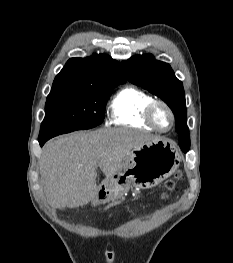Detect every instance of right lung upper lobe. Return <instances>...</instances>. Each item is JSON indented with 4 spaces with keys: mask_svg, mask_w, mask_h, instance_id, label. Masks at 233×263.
<instances>
[{
    "mask_svg": "<svg viewBox=\"0 0 233 263\" xmlns=\"http://www.w3.org/2000/svg\"><path fill=\"white\" fill-rule=\"evenodd\" d=\"M125 81L119 63L108 55L94 54L87 58H71L55 77L48 96L98 92L116 87Z\"/></svg>",
    "mask_w": 233,
    "mask_h": 263,
    "instance_id": "right-lung-upper-lobe-1",
    "label": "right lung upper lobe"
}]
</instances>
